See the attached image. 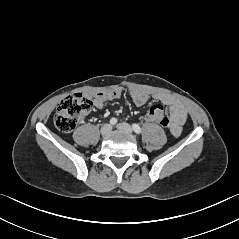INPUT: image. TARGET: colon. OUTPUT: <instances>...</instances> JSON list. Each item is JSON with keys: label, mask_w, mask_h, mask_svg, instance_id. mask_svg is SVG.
I'll return each instance as SVG.
<instances>
[{"label": "colon", "mask_w": 239, "mask_h": 239, "mask_svg": "<svg viewBox=\"0 0 239 239\" xmlns=\"http://www.w3.org/2000/svg\"><path fill=\"white\" fill-rule=\"evenodd\" d=\"M92 105L91 99L80 93L62 99L54 116V123L58 130L63 133L73 131L78 122L90 113ZM165 112L162 105L152 104L146 112V120L149 123L165 127L168 123Z\"/></svg>", "instance_id": "1"}]
</instances>
